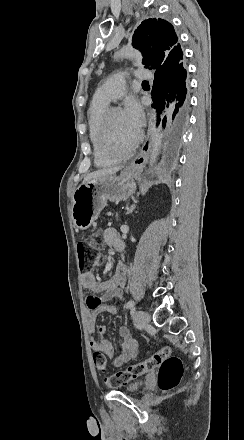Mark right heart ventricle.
Listing matches in <instances>:
<instances>
[{
  "label": "right heart ventricle",
  "mask_w": 244,
  "mask_h": 440,
  "mask_svg": "<svg viewBox=\"0 0 244 440\" xmlns=\"http://www.w3.org/2000/svg\"><path fill=\"white\" fill-rule=\"evenodd\" d=\"M108 106L109 103L94 102L92 100L89 107L90 139L95 149V163L100 168H112L115 165H117L121 160V156L118 154L116 146H112V149L116 151L114 154H105L101 149L102 147L100 145L102 141H100V136L98 134L100 132H104L103 131L104 128L101 130L99 127L103 122L104 113L107 110ZM129 133L130 135L133 134V132L130 129H129Z\"/></svg>",
  "instance_id": "1"
}]
</instances>
